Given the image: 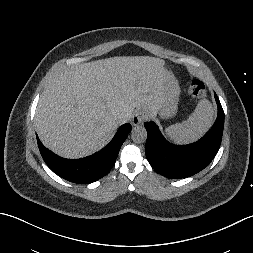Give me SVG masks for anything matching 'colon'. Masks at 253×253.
I'll return each mask as SVG.
<instances>
[{
	"instance_id": "obj_1",
	"label": "colon",
	"mask_w": 253,
	"mask_h": 253,
	"mask_svg": "<svg viewBox=\"0 0 253 253\" xmlns=\"http://www.w3.org/2000/svg\"><path fill=\"white\" fill-rule=\"evenodd\" d=\"M189 92L194 99H203L207 93L206 85L201 79L193 78L190 82Z\"/></svg>"
}]
</instances>
